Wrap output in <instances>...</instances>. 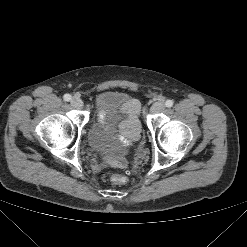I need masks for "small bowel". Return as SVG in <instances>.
<instances>
[{
  "label": "small bowel",
  "mask_w": 247,
  "mask_h": 247,
  "mask_svg": "<svg viewBox=\"0 0 247 247\" xmlns=\"http://www.w3.org/2000/svg\"><path fill=\"white\" fill-rule=\"evenodd\" d=\"M131 111H130V118L132 121H128V123H126V126L128 128H132L135 130V128L137 127V112H138V109H139V104L136 100H132V103H131V107H130ZM130 122V123H129Z\"/></svg>",
  "instance_id": "1"
}]
</instances>
